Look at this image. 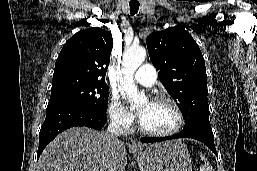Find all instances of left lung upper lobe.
Returning a JSON list of instances; mask_svg holds the SVG:
<instances>
[{
	"label": "left lung upper lobe",
	"mask_w": 257,
	"mask_h": 171,
	"mask_svg": "<svg viewBox=\"0 0 257 171\" xmlns=\"http://www.w3.org/2000/svg\"><path fill=\"white\" fill-rule=\"evenodd\" d=\"M146 42L160 81L183 112L184 128L211 127L205 61L192 36L170 27L150 34Z\"/></svg>",
	"instance_id": "obj_1"
}]
</instances>
